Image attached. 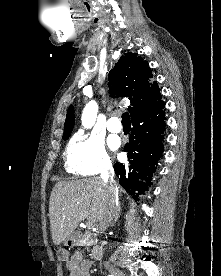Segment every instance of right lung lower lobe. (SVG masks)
I'll return each mask as SVG.
<instances>
[{"instance_id":"1","label":"right lung lower lobe","mask_w":221,"mask_h":276,"mask_svg":"<svg viewBox=\"0 0 221 276\" xmlns=\"http://www.w3.org/2000/svg\"><path fill=\"white\" fill-rule=\"evenodd\" d=\"M164 103L132 118L133 128L129 143L124 147L128 152V164L116 162L115 174L125 190L137 199L144 195L151 185L152 174L163 151L165 130Z\"/></svg>"}]
</instances>
